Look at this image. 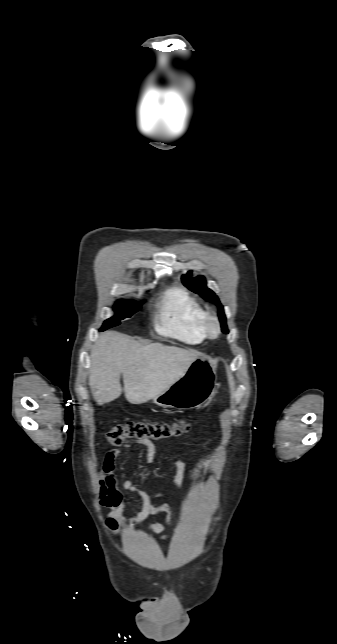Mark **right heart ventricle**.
<instances>
[{
	"label": "right heart ventricle",
	"instance_id": "e07e8e85",
	"mask_svg": "<svg viewBox=\"0 0 337 644\" xmlns=\"http://www.w3.org/2000/svg\"><path fill=\"white\" fill-rule=\"evenodd\" d=\"M205 311L197 299L184 287L169 288L163 295L156 319L157 331L187 344H200L206 335L203 330Z\"/></svg>",
	"mask_w": 337,
	"mask_h": 644
}]
</instances>
